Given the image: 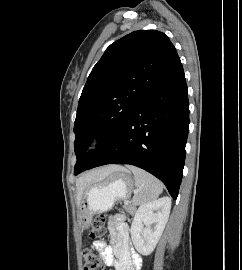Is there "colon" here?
I'll return each instance as SVG.
<instances>
[{
  "mask_svg": "<svg viewBox=\"0 0 242 270\" xmlns=\"http://www.w3.org/2000/svg\"><path fill=\"white\" fill-rule=\"evenodd\" d=\"M107 216L105 214H98L94 217L92 222V229L90 237L92 239H101L107 234L106 227ZM85 258V270H107L105 265L101 262L97 253L91 249H87L84 252Z\"/></svg>",
  "mask_w": 242,
  "mask_h": 270,
  "instance_id": "obj_1",
  "label": "colon"
}]
</instances>
